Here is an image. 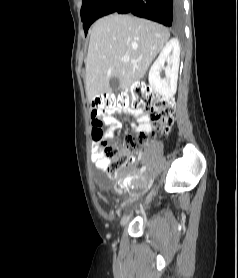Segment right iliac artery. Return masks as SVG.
I'll use <instances>...</instances> for the list:
<instances>
[{"label": "right iliac artery", "instance_id": "right-iliac-artery-1", "mask_svg": "<svg viewBox=\"0 0 238 278\" xmlns=\"http://www.w3.org/2000/svg\"><path fill=\"white\" fill-rule=\"evenodd\" d=\"M145 170H146V166H143V167L140 169V174H142Z\"/></svg>", "mask_w": 238, "mask_h": 278}]
</instances>
